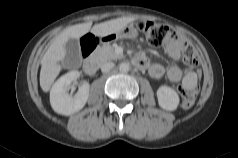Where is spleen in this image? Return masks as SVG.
<instances>
[{
    "label": "spleen",
    "mask_w": 238,
    "mask_h": 158,
    "mask_svg": "<svg viewBox=\"0 0 238 158\" xmlns=\"http://www.w3.org/2000/svg\"><path fill=\"white\" fill-rule=\"evenodd\" d=\"M183 86L186 89H193L197 85V75L194 72L188 73L182 81Z\"/></svg>",
    "instance_id": "obj_1"
}]
</instances>
